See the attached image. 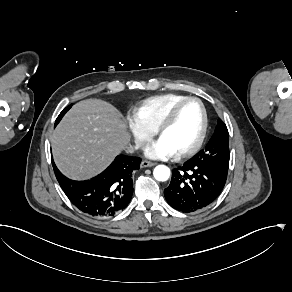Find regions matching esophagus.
<instances>
[{
  "mask_svg": "<svg viewBox=\"0 0 292 292\" xmlns=\"http://www.w3.org/2000/svg\"><path fill=\"white\" fill-rule=\"evenodd\" d=\"M155 165H156V163H154V162H150V161L144 160L141 163V168L152 167V166H155Z\"/></svg>",
  "mask_w": 292,
  "mask_h": 292,
  "instance_id": "esophagus-1",
  "label": "esophagus"
}]
</instances>
